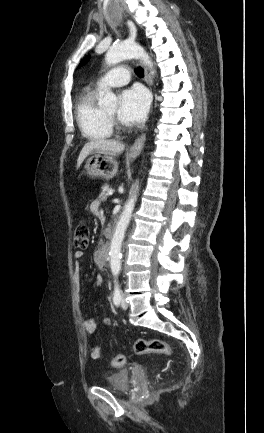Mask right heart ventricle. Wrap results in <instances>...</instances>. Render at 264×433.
<instances>
[{"instance_id":"e07e8e85","label":"right heart ventricle","mask_w":264,"mask_h":433,"mask_svg":"<svg viewBox=\"0 0 264 433\" xmlns=\"http://www.w3.org/2000/svg\"><path fill=\"white\" fill-rule=\"evenodd\" d=\"M98 90L83 91L76 102V120L82 134L90 140L112 135V126L105 111L97 103Z\"/></svg>"}]
</instances>
